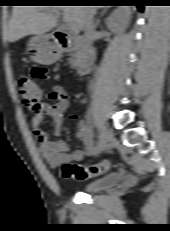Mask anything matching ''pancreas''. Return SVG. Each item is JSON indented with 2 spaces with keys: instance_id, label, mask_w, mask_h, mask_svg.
<instances>
[{
  "instance_id": "obj_1",
  "label": "pancreas",
  "mask_w": 170,
  "mask_h": 231,
  "mask_svg": "<svg viewBox=\"0 0 170 231\" xmlns=\"http://www.w3.org/2000/svg\"><path fill=\"white\" fill-rule=\"evenodd\" d=\"M71 58L69 59V62L70 64L74 67L78 64L79 60H78V57H79V52L75 51L73 52L71 55Z\"/></svg>"
}]
</instances>
